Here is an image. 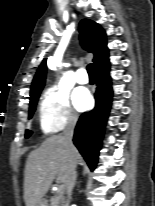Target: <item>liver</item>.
<instances>
[{
  "instance_id": "liver-1",
  "label": "liver",
  "mask_w": 155,
  "mask_h": 206,
  "mask_svg": "<svg viewBox=\"0 0 155 206\" xmlns=\"http://www.w3.org/2000/svg\"><path fill=\"white\" fill-rule=\"evenodd\" d=\"M72 156L76 164L81 161V156L75 147ZM69 168L70 155L61 135L47 138L38 149L32 151L25 166L24 200L26 206H37L48 192L54 179L65 187L69 177Z\"/></svg>"
}]
</instances>
